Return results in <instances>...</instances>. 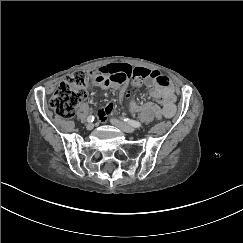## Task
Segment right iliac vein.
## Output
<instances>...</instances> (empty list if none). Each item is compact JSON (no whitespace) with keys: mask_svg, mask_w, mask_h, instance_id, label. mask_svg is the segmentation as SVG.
Instances as JSON below:
<instances>
[{"mask_svg":"<svg viewBox=\"0 0 243 243\" xmlns=\"http://www.w3.org/2000/svg\"><path fill=\"white\" fill-rule=\"evenodd\" d=\"M86 128H87V130H92L94 128V124L93 123H88Z\"/></svg>","mask_w":243,"mask_h":243,"instance_id":"obj_1","label":"right iliac vein"}]
</instances>
